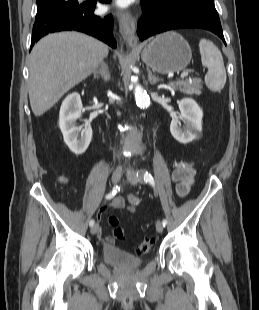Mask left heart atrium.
<instances>
[{"label":"left heart atrium","mask_w":259,"mask_h":310,"mask_svg":"<svg viewBox=\"0 0 259 310\" xmlns=\"http://www.w3.org/2000/svg\"><path fill=\"white\" fill-rule=\"evenodd\" d=\"M131 0H115V4L118 7H126L130 4Z\"/></svg>","instance_id":"left-heart-atrium-1"}]
</instances>
